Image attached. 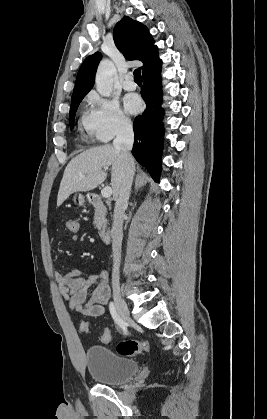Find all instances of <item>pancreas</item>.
I'll list each match as a JSON object with an SVG mask.
<instances>
[{
  "instance_id": "cf45deb5",
  "label": "pancreas",
  "mask_w": 267,
  "mask_h": 419,
  "mask_svg": "<svg viewBox=\"0 0 267 419\" xmlns=\"http://www.w3.org/2000/svg\"><path fill=\"white\" fill-rule=\"evenodd\" d=\"M107 223L106 211L102 208L95 209L94 221L93 224L97 229H100L103 225Z\"/></svg>"
}]
</instances>
